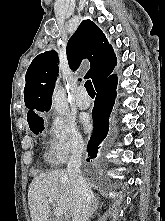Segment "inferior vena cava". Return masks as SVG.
<instances>
[{"instance_id":"obj_1","label":"inferior vena cava","mask_w":165,"mask_h":221,"mask_svg":"<svg viewBox=\"0 0 165 221\" xmlns=\"http://www.w3.org/2000/svg\"><path fill=\"white\" fill-rule=\"evenodd\" d=\"M84 152V142L78 141L72 148V155L67 165V171L74 194L75 203L72 221H88L91 214L93 192L83 178L80 166Z\"/></svg>"}]
</instances>
